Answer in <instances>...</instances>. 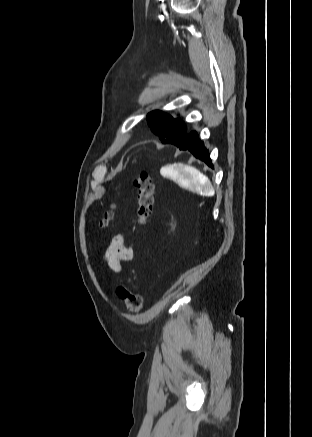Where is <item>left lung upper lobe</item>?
Masks as SVG:
<instances>
[{"mask_svg": "<svg viewBox=\"0 0 312 437\" xmlns=\"http://www.w3.org/2000/svg\"><path fill=\"white\" fill-rule=\"evenodd\" d=\"M147 121L151 130L159 135L162 143L165 144L181 140L188 134L180 118H173L160 110L149 113Z\"/></svg>", "mask_w": 312, "mask_h": 437, "instance_id": "5c2ea615", "label": "left lung upper lobe"}]
</instances>
